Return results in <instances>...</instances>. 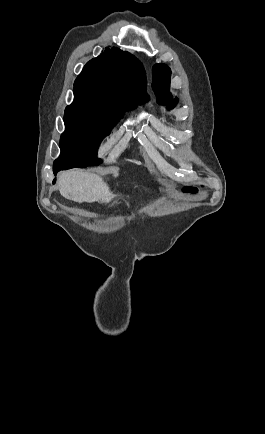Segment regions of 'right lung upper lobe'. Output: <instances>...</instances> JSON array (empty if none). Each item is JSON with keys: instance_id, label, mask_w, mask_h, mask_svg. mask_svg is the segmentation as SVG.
Returning a JSON list of instances; mask_svg holds the SVG:
<instances>
[{"instance_id": "obj_1", "label": "right lung upper lobe", "mask_w": 265, "mask_h": 434, "mask_svg": "<svg viewBox=\"0 0 265 434\" xmlns=\"http://www.w3.org/2000/svg\"><path fill=\"white\" fill-rule=\"evenodd\" d=\"M74 89L93 90L110 100L135 106L149 99L143 66L133 55L115 47H107L85 65Z\"/></svg>"}]
</instances>
